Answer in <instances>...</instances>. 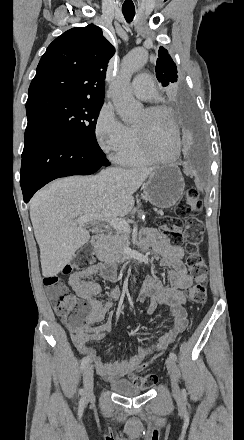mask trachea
Masks as SVG:
<instances>
[{"label":"trachea","mask_w":244,"mask_h":440,"mask_svg":"<svg viewBox=\"0 0 244 440\" xmlns=\"http://www.w3.org/2000/svg\"><path fill=\"white\" fill-rule=\"evenodd\" d=\"M122 13L126 21L130 23L133 20V17L135 16V9L122 8Z\"/></svg>","instance_id":"1"}]
</instances>
